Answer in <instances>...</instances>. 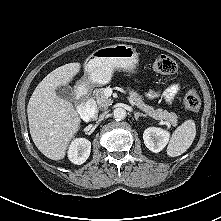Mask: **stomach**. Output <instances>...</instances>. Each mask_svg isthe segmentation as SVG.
<instances>
[{
    "mask_svg": "<svg viewBox=\"0 0 221 221\" xmlns=\"http://www.w3.org/2000/svg\"><path fill=\"white\" fill-rule=\"evenodd\" d=\"M138 53L131 45L117 44L95 50L85 61L83 84L88 87L110 82L113 72L120 69L135 73Z\"/></svg>",
    "mask_w": 221,
    "mask_h": 221,
    "instance_id": "1",
    "label": "stomach"
}]
</instances>
